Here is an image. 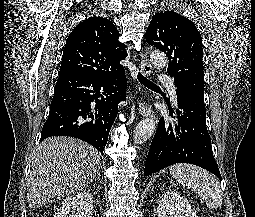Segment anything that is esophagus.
Returning <instances> with one entry per match:
<instances>
[{
    "label": "esophagus",
    "mask_w": 255,
    "mask_h": 217,
    "mask_svg": "<svg viewBox=\"0 0 255 217\" xmlns=\"http://www.w3.org/2000/svg\"><path fill=\"white\" fill-rule=\"evenodd\" d=\"M140 68H141V72L146 75V76H150L152 73V67L151 64L149 63L146 55L141 52L140 53ZM139 113L143 116V117H154V112L151 109V107L147 104L146 101L141 100L139 103Z\"/></svg>",
    "instance_id": "34e87169"
}]
</instances>
